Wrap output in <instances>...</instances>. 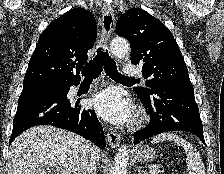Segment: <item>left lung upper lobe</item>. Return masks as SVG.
I'll list each match as a JSON object with an SVG mask.
<instances>
[{"mask_svg":"<svg viewBox=\"0 0 224 174\" xmlns=\"http://www.w3.org/2000/svg\"><path fill=\"white\" fill-rule=\"evenodd\" d=\"M118 35L131 46V61L142 66L149 88H135L138 95L147 96L153 87H193L182 53L171 32L148 12L133 8L127 10L116 25Z\"/></svg>","mask_w":224,"mask_h":174,"instance_id":"5c2ea615","label":"left lung upper lobe"}]
</instances>
